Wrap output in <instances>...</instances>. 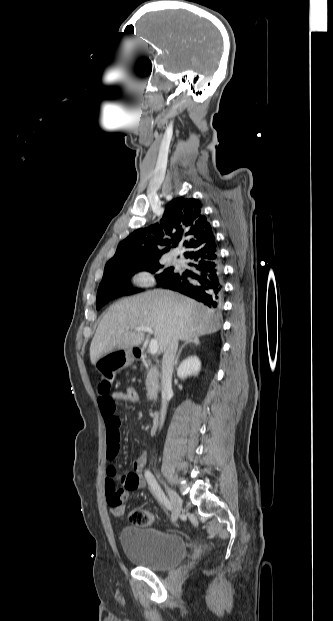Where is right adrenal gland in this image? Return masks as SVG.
Segmentation results:
<instances>
[{"mask_svg":"<svg viewBox=\"0 0 333 621\" xmlns=\"http://www.w3.org/2000/svg\"><path fill=\"white\" fill-rule=\"evenodd\" d=\"M190 343H192V344H194V345H196V346H197V345L200 343L199 338H198V337H195V338H193V339H190V340L186 341V342H185V343L181 346V348L179 349V351H178V353H177V355H176V357H175V360H174V366H175V367H177V364H178V359H179V356H180V354H181V352H182L183 348H184L187 344H190Z\"/></svg>","mask_w":333,"mask_h":621,"instance_id":"right-adrenal-gland-1","label":"right adrenal gland"}]
</instances>
